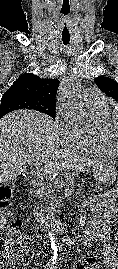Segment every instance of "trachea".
<instances>
[{
	"label": "trachea",
	"instance_id": "obj_1",
	"mask_svg": "<svg viewBox=\"0 0 118 269\" xmlns=\"http://www.w3.org/2000/svg\"><path fill=\"white\" fill-rule=\"evenodd\" d=\"M62 41H63L64 45H67V44H69L70 39H62Z\"/></svg>",
	"mask_w": 118,
	"mask_h": 269
}]
</instances>
